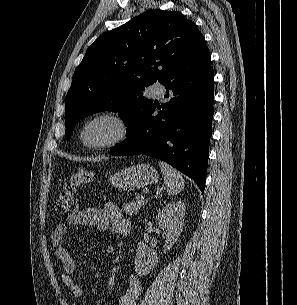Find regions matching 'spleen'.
<instances>
[{"label":"spleen","instance_id":"1","mask_svg":"<svg viewBox=\"0 0 297 305\" xmlns=\"http://www.w3.org/2000/svg\"><path fill=\"white\" fill-rule=\"evenodd\" d=\"M159 166L164 175L168 195L178 194L184 188L185 184L182 175L165 162L159 161Z\"/></svg>","mask_w":297,"mask_h":305}]
</instances>
